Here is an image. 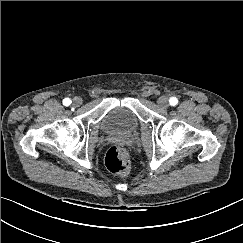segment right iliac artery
<instances>
[{"instance_id": "1", "label": "right iliac artery", "mask_w": 243, "mask_h": 243, "mask_svg": "<svg viewBox=\"0 0 243 243\" xmlns=\"http://www.w3.org/2000/svg\"><path fill=\"white\" fill-rule=\"evenodd\" d=\"M63 104H64L65 106H69V105L71 104V100H70L69 98H65V99L63 100Z\"/></svg>"}]
</instances>
